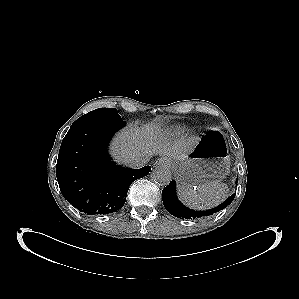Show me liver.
I'll return each mask as SVG.
<instances>
[{
    "label": "liver",
    "instance_id": "1",
    "mask_svg": "<svg viewBox=\"0 0 299 299\" xmlns=\"http://www.w3.org/2000/svg\"><path fill=\"white\" fill-rule=\"evenodd\" d=\"M157 126L145 125L142 128L128 127L114 138L111 149L118 162L125 163L135 157L153 154L165 155L173 160H182L192 150V144L178 142L173 146L164 142Z\"/></svg>",
    "mask_w": 299,
    "mask_h": 299
}]
</instances>
